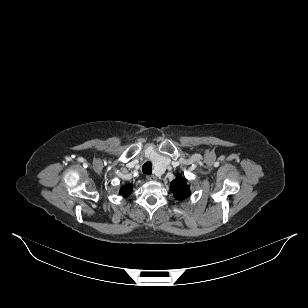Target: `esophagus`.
Instances as JSON below:
<instances>
[{"label": "esophagus", "instance_id": "esophagus-1", "mask_svg": "<svg viewBox=\"0 0 308 308\" xmlns=\"http://www.w3.org/2000/svg\"><path fill=\"white\" fill-rule=\"evenodd\" d=\"M147 180L149 181H155L156 180V177L154 175H147Z\"/></svg>", "mask_w": 308, "mask_h": 308}]
</instances>
